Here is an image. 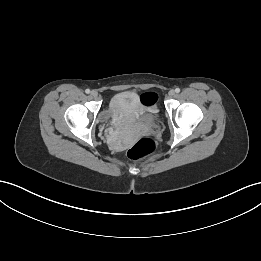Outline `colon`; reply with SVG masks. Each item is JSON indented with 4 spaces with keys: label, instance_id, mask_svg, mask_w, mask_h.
I'll return each instance as SVG.
<instances>
[{
    "label": "colon",
    "instance_id": "colon-1",
    "mask_svg": "<svg viewBox=\"0 0 261 261\" xmlns=\"http://www.w3.org/2000/svg\"><path fill=\"white\" fill-rule=\"evenodd\" d=\"M139 104L146 110L145 117L153 120L156 117L155 110L161 104L162 98L158 92L144 91L139 95ZM156 151V144L151 138H141L128 150V157L133 160H140L153 155Z\"/></svg>",
    "mask_w": 261,
    "mask_h": 261
}]
</instances>
